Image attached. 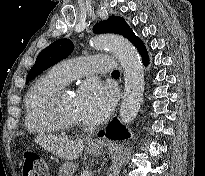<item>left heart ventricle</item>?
Instances as JSON below:
<instances>
[{
  "label": "left heart ventricle",
  "mask_w": 205,
  "mask_h": 176,
  "mask_svg": "<svg viewBox=\"0 0 205 176\" xmlns=\"http://www.w3.org/2000/svg\"><path fill=\"white\" fill-rule=\"evenodd\" d=\"M61 108H62L63 113L67 117L75 121H78L80 123L84 122V120L82 119V117L80 116L78 112L75 95L71 93H66L62 97Z\"/></svg>",
  "instance_id": "b2bd125f"
}]
</instances>
